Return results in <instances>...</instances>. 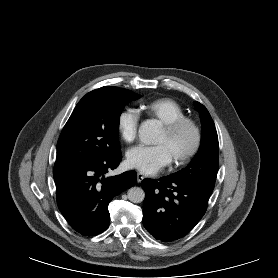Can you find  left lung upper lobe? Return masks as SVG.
Segmentation results:
<instances>
[{"instance_id": "1", "label": "left lung upper lobe", "mask_w": 278, "mask_h": 278, "mask_svg": "<svg viewBox=\"0 0 278 278\" xmlns=\"http://www.w3.org/2000/svg\"><path fill=\"white\" fill-rule=\"evenodd\" d=\"M195 109L200 112L202 123L200 149L186 168L169 176L175 180L196 182L214 187L219 166L218 136L208 110L199 102H195Z\"/></svg>"}]
</instances>
